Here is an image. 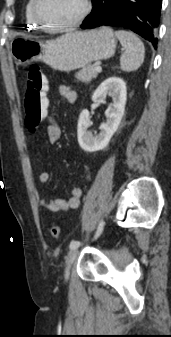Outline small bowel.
Masks as SVG:
<instances>
[{
	"instance_id": "1",
	"label": "small bowel",
	"mask_w": 171,
	"mask_h": 337,
	"mask_svg": "<svg viewBox=\"0 0 171 337\" xmlns=\"http://www.w3.org/2000/svg\"><path fill=\"white\" fill-rule=\"evenodd\" d=\"M59 94L65 98L69 103H74L77 100V94L71 88L61 85L58 88ZM48 116L49 123L46 127V134L48 141L51 144L57 143L62 136V130L58 123H56L52 117L49 107ZM91 178L89 168L84 165L83 172L81 175V181H89ZM39 181L43 184L49 181V174L45 171L39 173ZM82 195V188L80 185H75L71 190V197L67 200L61 198H42L40 200V205L49 210L52 213H63L72 209H76L79 206L80 197Z\"/></svg>"
}]
</instances>
